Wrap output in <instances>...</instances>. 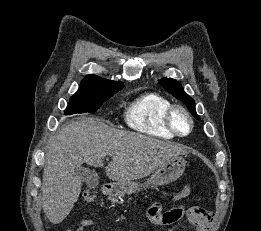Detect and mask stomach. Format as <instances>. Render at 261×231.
I'll return each mask as SVG.
<instances>
[{"label": "stomach", "mask_w": 261, "mask_h": 231, "mask_svg": "<svg viewBox=\"0 0 261 231\" xmlns=\"http://www.w3.org/2000/svg\"><path fill=\"white\" fill-rule=\"evenodd\" d=\"M186 160L183 156H178L170 160L166 165L157 169L153 175L143 184L138 182L116 183L112 185L116 195H130L140 190V188H157L176 181L182 176L186 168Z\"/></svg>", "instance_id": "obj_1"}]
</instances>
